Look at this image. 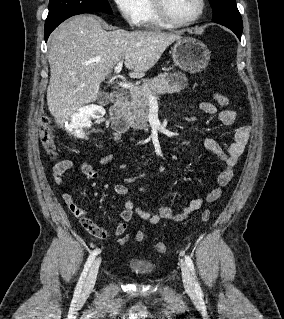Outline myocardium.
Here are the masks:
<instances>
[{"label":"myocardium","mask_w":284,"mask_h":319,"mask_svg":"<svg viewBox=\"0 0 284 319\" xmlns=\"http://www.w3.org/2000/svg\"><path fill=\"white\" fill-rule=\"evenodd\" d=\"M153 9L157 17L166 24L174 26H185L197 22L202 18L205 12L206 2L205 0H199L198 12L190 19L182 20L173 17L167 9L165 0H151Z\"/></svg>","instance_id":"f54148a6"}]
</instances>
